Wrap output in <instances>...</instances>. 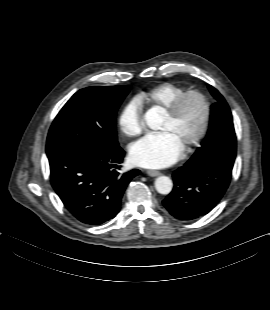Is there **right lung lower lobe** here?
<instances>
[{
	"label": "right lung lower lobe",
	"mask_w": 270,
	"mask_h": 310,
	"mask_svg": "<svg viewBox=\"0 0 270 310\" xmlns=\"http://www.w3.org/2000/svg\"><path fill=\"white\" fill-rule=\"evenodd\" d=\"M51 184L66 209L80 222L100 225L120 210L122 195L139 170L120 173L121 147L49 143Z\"/></svg>",
	"instance_id": "right-lung-lower-lobe-1"
}]
</instances>
